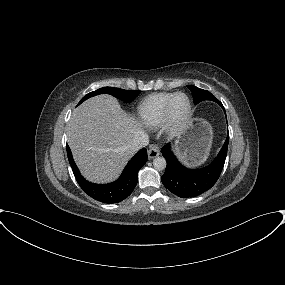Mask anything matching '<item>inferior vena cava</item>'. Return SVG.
<instances>
[{
  "instance_id": "602c4592",
  "label": "inferior vena cava",
  "mask_w": 285,
  "mask_h": 285,
  "mask_svg": "<svg viewBox=\"0 0 285 285\" xmlns=\"http://www.w3.org/2000/svg\"><path fill=\"white\" fill-rule=\"evenodd\" d=\"M149 143V137L144 131H138L132 142L130 143L129 147L132 151H137L139 149L144 148Z\"/></svg>"
}]
</instances>
